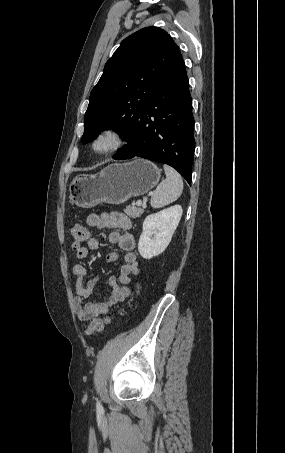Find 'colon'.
I'll return each mask as SVG.
<instances>
[{
  "label": "colon",
  "mask_w": 285,
  "mask_h": 453,
  "mask_svg": "<svg viewBox=\"0 0 285 453\" xmlns=\"http://www.w3.org/2000/svg\"><path fill=\"white\" fill-rule=\"evenodd\" d=\"M72 235V248L75 251H79L83 248V243L88 237V230L82 224H75L71 229ZM122 314V312H120ZM113 316H105L103 318L90 319L89 324L85 326V334L93 336L98 332H101L104 326L111 321Z\"/></svg>",
  "instance_id": "5ec220e1"
}]
</instances>
